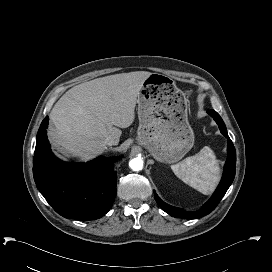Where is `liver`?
<instances>
[{
    "label": "liver",
    "mask_w": 272,
    "mask_h": 272,
    "mask_svg": "<svg viewBox=\"0 0 272 272\" xmlns=\"http://www.w3.org/2000/svg\"><path fill=\"white\" fill-rule=\"evenodd\" d=\"M151 75L135 71L97 78L69 89L54 105L48 135L66 155L88 160L104 152L105 139L118 142L135 119L137 97Z\"/></svg>",
    "instance_id": "1"
}]
</instances>
